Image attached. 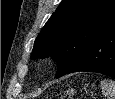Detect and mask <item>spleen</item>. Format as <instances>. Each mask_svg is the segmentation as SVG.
<instances>
[{
	"mask_svg": "<svg viewBox=\"0 0 115 99\" xmlns=\"http://www.w3.org/2000/svg\"><path fill=\"white\" fill-rule=\"evenodd\" d=\"M102 93L108 99H115V81L102 80L101 81Z\"/></svg>",
	"mask_w": 115,
	"mask_h": 99,
	"instance_id": "obj_1",
	"label": "spleen"
}]
</instances>
